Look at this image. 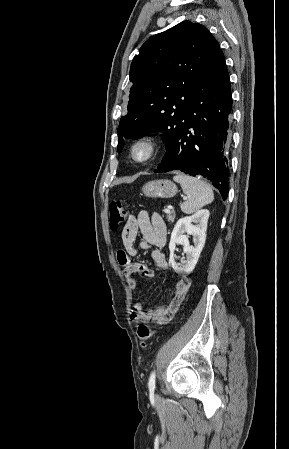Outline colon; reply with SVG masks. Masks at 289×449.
Returning a JSON list of instances; mask_svg holds the SVG:
<instances>
[{
	"mask_svg": "<svg viewBox=\"0 0 289 449\" xmlns=\"http://www.w3.org/2000/svg\"><path fill=\"white\" fill-rule=\"evenodd\" d=\"M110 227L112 230H117L128 219L129 212L126 209L125 203L122 201H113L109 205ZM155 331L145 325H140L137 328V335L142 347L146 346L147 341L152 338Z\"/></svg>",
	"mask_w": 289,
	"mask_h": 449,
	"instance_id": "1",
	"label": "colon"
}]
</instances>
